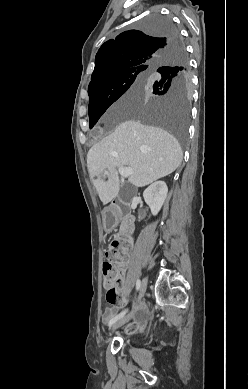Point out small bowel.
Returning <instances> with one entry per match:
<instances>
[{"instance_id": "obj_1", "label": "small bowel", "mask_w": 248, "mask_h": 389, "mask_svg": "<svg viewBox=\"0 0 248 389\" xmlns=\"http://www.w3.org/2000/svg\"><path fill=\"white\" fill-rule=\"evenodd\" d=\"M120 269H121V271L123 273V267L122 266L120 267ZM125 302H126V300H123L122 305ZM117 310H118V306H116L115 304H112V306L107 307L105 309L104 313H103V317H102L103 321L105 323L110 322L115 317V314H116ZM147 315H148L147 311L141 309V310H139L137 312L136 317L139 320H143V319H145L147 317Z\"/></svg>"}]
</instances>
